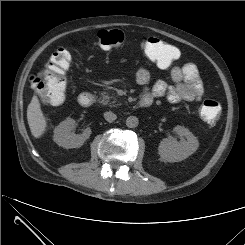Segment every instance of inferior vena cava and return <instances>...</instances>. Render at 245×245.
<instances>
[{
  "mask_svg": "<svg viewBox=\"0 0 245 245\" xmlns=\"http://www.w3.org/2000/svg\"><path fill=\"white\" fill-rule=\"evenodd\" d=\"M104 118L106 121L111 123L116 120L117 116L114 113L109 111V112L104 113Z\"/></svg>",
  "mask_w": 245,
  "mask_h": 245,
  "instance_id": "1",
  "label": "inferior vena cava"
}]
</instances>
